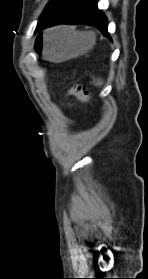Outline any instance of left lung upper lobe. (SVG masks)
<instances>
[{"instance_id":"1","label":"left lung upper lobe","mask_w":148,"mask_h":279,"mask_svg":"<svg viewBox=\"0 0 148 279\" xmlns=\"http://www.w3.org/2000/svg\"><path fill=\"white\" fill-rule=\"evenodd\" d=\"M65 0H51L42 13L38 24L57 9Z\"/></svg>"}]
</instances>
